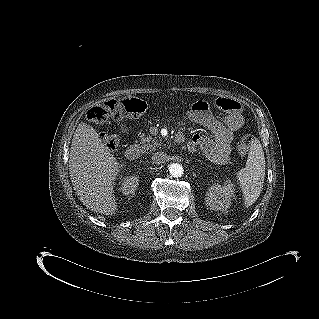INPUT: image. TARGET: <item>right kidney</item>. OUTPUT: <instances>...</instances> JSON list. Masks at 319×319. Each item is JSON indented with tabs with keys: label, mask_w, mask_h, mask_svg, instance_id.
<instances>
[{
	"label": "right kidney",
	"mask_w": 319,
	"mask_h": 319,
	"mask_svg": "<svg viewBox=\"0 0 319 319\" xmlns=\"http://www.w3.org/2000/svg\"><path fill=\"white\" fill-rule=\"evenodd\" d=\"M135 191V185H133L132 187H131V189L129 190V193H133Z\"/></svg>",
	"instance_id": "ca27d5eb"
}]
</instances>
